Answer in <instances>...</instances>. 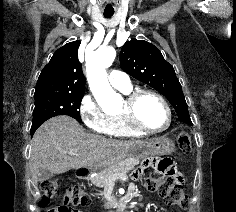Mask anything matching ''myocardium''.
I'll return each instance as SVG.
<instances>
[{
	"label": "myocardium",
	"instance_id": "myocardium-1",
	"mask_svg": "<svg viewBox=\"0 0 236 212\" xmlns=\"http://www.w3.org/2000/svg\"><path fill=\"white\" fill-rule=\"evenodd\" d=\"M149 95L156 99H158L163 106L165 107L168 115V121L167 124L159 129H150L147 127H144L138 117V105L142 97ZM120 116L124 119V121L127 123V125L132 128L133 130L141 133V134H158L165 130H167L173 121V114L171 107L168 103V101L165 99L164 96H162L157 91H154L152 89H145V88H138L131 90L129 93L126 94L125 100H124V106L122 111L120 112Z\"/></svg>",
	"mask_w": 236,
	"mask_h": 212
}]
</instances>
